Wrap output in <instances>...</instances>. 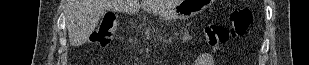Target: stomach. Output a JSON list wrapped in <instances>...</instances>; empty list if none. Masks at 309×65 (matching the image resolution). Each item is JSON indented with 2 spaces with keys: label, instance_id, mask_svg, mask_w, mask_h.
Segmentation results:
<instances>
[{
  "label": "stomach",
  "instance_id": "obj_1",
  "mask_svg": "<svg viewBox=\"0 0 309 65\" xmlns=\"http://www.w3.org/2000/svg\"><path fill=\"white\" fill-rule=\"evenodd\" d=\"M212 2L213 0H180L161 16L166 20H186L203 12Z\"/></svg>",
  "mask_w": 309,
  "mask_h": 65
}]
</instances>
